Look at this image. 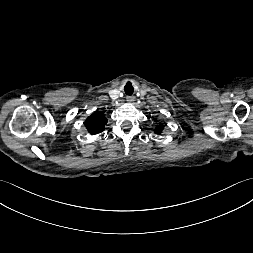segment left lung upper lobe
Wrapping results in <instances>:
<instances>
[{
    "label": "left lung upper lobe",
    "mask_w": 253,
    "mask_h": 253,
    "mask_svg": "<svg viewBox=\"0 0 253 253\" xmlns=\"http://www.w3.org/2000/svg\"><path fill=\"white\" fill-rule=\"evenodd\" d=\"M163 128H164L163 125L157 126V128L155 129V133L160 134L162 132Z\"/></svg>",
    "instance_id": "1"
}]
</instances>
